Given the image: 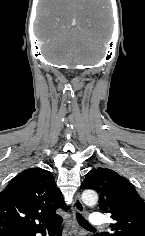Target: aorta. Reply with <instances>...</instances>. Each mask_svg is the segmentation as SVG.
<instances>
[{
	"mask_svg": "<svg viewBox=\"0 0 145 236\" xmlns=\"http://www.w3.org/2000/svg\"><path fill=\"white\" fill-rule=\"evenodd\" d=\"M82 201L88 206L95 205L98 201V195L95 191L86 190L82 193Z\"/></svg>",
	"mask_w": 145,
	"mask_h": 236,
	"instance_id": "obj_1",
	"label": "aorta"
}]
</instances>
